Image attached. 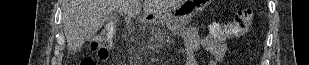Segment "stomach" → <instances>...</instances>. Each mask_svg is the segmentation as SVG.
Listing matches in <instances>:
<instances>
[{"label":"stomach","instance_id":"obj_1","mask_svg":"<svg viewBox=\"0 0 309 65\" xmlns=\"http://www.w3.org/2000/svg\"><path fill=\"white\" fill-rule=\"evenodd\" d=\"M209 3V0H182L169 10L160 14H152L146 21L153 24L180 27L186 24L187 19L205 8Z\"/></svg>","mask_w":309,"mask_h":65}]
</instances>
